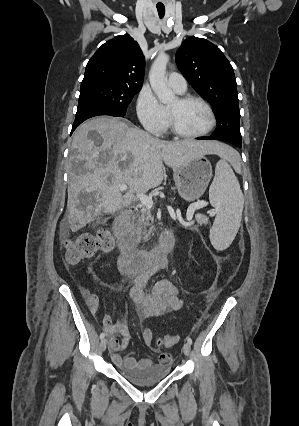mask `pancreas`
<instances>
[{
  "mask_svg": "<svg viewBox=\"0 0 299 426\" xmlns=\"http://www.w3.org/2000/svg\"><path fill=\"white\" fill-rule=\"evenodd\" d=\"M196 221L199 225L208 223L207 217L203 215H196ZM151 222H153V216L151 209L148 207H143L133 215L131 227L136 234L138 242L141 239L145 241L149 239L150 231L147 228L151 226ZM191 229H196V226L191 227Z\"/></svg>",
  "mask_w": 299,
  "mask_h": 426,
  "instance_id": "obj_1",
  "label": "pancreas"
}]
</instances>
